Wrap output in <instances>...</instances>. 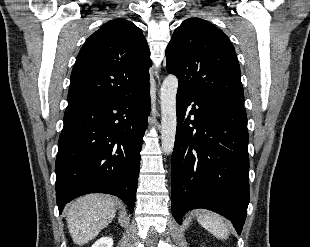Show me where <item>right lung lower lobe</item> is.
<instances>
[{
	"mask_svg": "<svg viewBox=\"0 0 310 247\" xmlns=\"http://www.w3.org/2000/svg\"><path fill=\"white\" fill-rule=\"evenodd\" d=\"M149 87L140 92L67 106L55 164L59 212L87 193L121 198L134 210Z\"/></svg>",
	"mask_w": 310,
	"mask_h": 247,
	"instance_id": "right-lung-lower-lobe-1",
	"label": "right lung lower lobe"
}]
</instances>
